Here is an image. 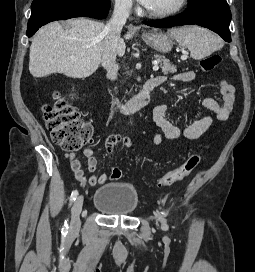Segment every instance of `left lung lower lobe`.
Returning a JSON list of instances; mask_svg holds the SVG:
<instances>
[{
    "mask_svg": "<svg viewBox=\"0 0 255 272\" xmlns=\"http://www.w3.org/2000/svg\"><path fill=\"white\" fill-rule=\"evenodd\" d=\"M230 20L231 11L226 0H190L188 8L181 15L156 21H144V24L159 28L196 24L209 28L225 41L230 42Z\"/></svg>",
    "mask_w": 255,
    "mask_h": 272,
    "instance_id": "obj_1",
    "label": "left lung lower lobe"
}]
</instances>
